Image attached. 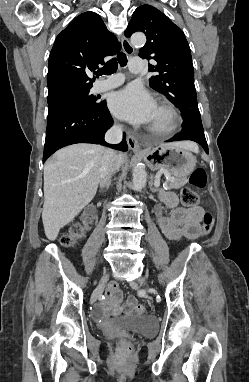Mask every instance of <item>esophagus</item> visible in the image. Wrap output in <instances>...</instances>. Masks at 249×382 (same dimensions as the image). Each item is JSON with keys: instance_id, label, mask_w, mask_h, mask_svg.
I'll return each mask as SVG.
<instances>
[{"instance_id": "34e87169", "label": "esophagus", "mask_w": 249, "mask_h": 382, "mask_svg": "<svg viewBox=\"0 0 249 382\" xmlns=\"http://www.w3.org/2000/svg\"><path fill=\"white\" fill-rule=\"evenodd\" d=\"M122 49L128 55H131L134 52V47L131 45V43L125 36H122ZM127 144L129 146V149L132 150L134 153L142 152L138 140L134 135L130 133L127 134Z\"/></svg>"}]
</instances>
